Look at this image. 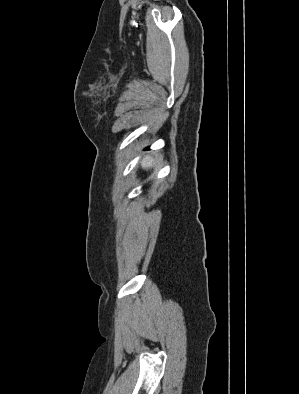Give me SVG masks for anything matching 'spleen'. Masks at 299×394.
Here are the masks:
<instances>
[{"label": "spleen", "instance_id": "1", "mask_svg": "<svg viewBox=\"0 0 299 394\" xmlns=\"http://www.w3.org/2000/svg\"><path fill=\"white\" fill-rule=\"evenodd\" d=\"M154 165H156V161L151 156H146L141 161V166L143 169H148L150 167H153Z\"/></svg>", "mask_w": 299, "mask_h": 394}]
</instances>
